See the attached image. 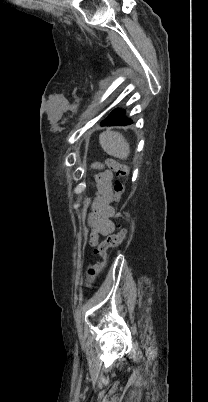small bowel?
Instances as JSON below:
<instances>
[{
	"mask_svg": "<svg viewBox=\"0 0 208 402\" xmlns=\"http://www.w3.org/2000/svg\"><path fill=\"white\" fill-rule=\"evenodd\" d=\"M97 166L101 167L100 165ZM113 176L111 170L104 169L95 178L96 197L92 203L91 213L88 218L89 243L92 246L98 243L100 236H108L116 228L113 220L114 210L110 206Z\"/></svg>",
	"mask_w": 208,
	"mask_h": 402,
	"instance_id": "obj_1",
	"label": "small bowel"
}]
</instances>
